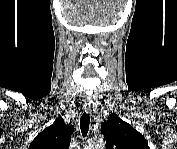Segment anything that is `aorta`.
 <instances>
[{
    "instance_id": "aorta-1",
    "label": "aorta",
    "mask_w": 177,
    "mask_h": 149,
    "mask_svg": "<svg viewBox=\"0 0 177 149\" xmlns=\"http://www.w3.org/2000/svg\"><path fill=\"white\" fill-rule=\"evenodd\" d=\"M103 147H104V140L103 138L98 137L92 139L85 149H103Z\"/></svg>"
}]
</instances>
